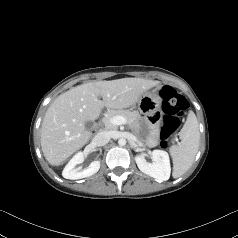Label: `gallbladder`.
Segmentation results:
<instances>
[{"label":"gallbladder","instance_id":"1","mask_svg":"<svg viewBox=\"0 0 238 238\" xmlns=\"http://www.w3.org/2000/svg\"><path fill=\"white\" fill-rule=\"evenodd\" d=\"M92 125H93V122H92V121H87V122L85 123V126H86L87 128H91Z\"/></svg>","mask_w":238,"mask_h":238}]
</instances>
